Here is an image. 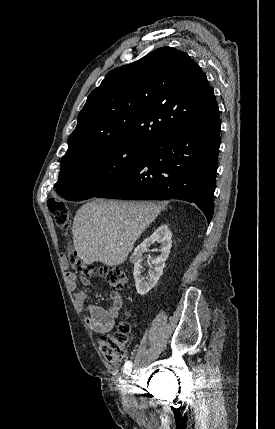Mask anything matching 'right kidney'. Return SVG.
Segmentation results:
<instances>
[{"label": "right kidney", "instance_id": "1", "mask_svg": "<svg viewBox=\"0 0 275 429\" xmlns=\"http://www.w3.org/2000/svg\"><path fill=\"white\" fill-rule=\"evenodd\" d=\"M155 242H160L159 248L160 255L155 259H148L151 261L150 265L152 270H149L148 276L145 278L142 276V265L143 255L148 248ZM172 246V233L167 225L163 224L158 227L154 233L146 238L140 245H138L134 253L130 257V261L134 264V279L137 293L140 295H146L155 285L157 284L160 276L162 275L165 267V261L167 260L170 249Z\"/></svg>", "mask_w": 275, "mask_h": 429}]
</instances>
